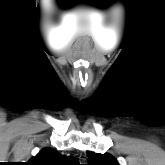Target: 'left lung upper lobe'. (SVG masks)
Returning <instances> with one entry per match:
<instances>
[{
    "label": "left lung upper lobe",
    "mask_w": 165,
    "mask_h": 165,
    "mask_svg": "<svg viewBox=\"0 0 165 165\" xmlns=\"http://www.w3.org/2000/svg\"><path fill=\"white\" fill-rule=\"evenodd\" d=\"M88 154V165H119L116 159L108 153L99 154L89 151Z\"/></svg>",
    "instance_id": "5c2ea615"
}]
</instances>
